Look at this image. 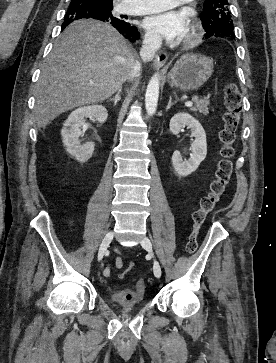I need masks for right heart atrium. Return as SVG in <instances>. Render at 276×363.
I'll return each instance as SVG.
<instances>
[{
  "label": "right heart atrium",
  "mask_w": 276,
  "mask_h": 363,
  "mask_svg": "<svg viewBox=\"0 0 276 363\" xmlns=\"http://www.w3.org/2000/svg\"><path fill=\"white\" fill-rule=\"evenodd\" d=\"M148 39H149V41H151V42L153 41V39H152L151 37H148Z\"/></svg>",
  "instance_id": "right-heart-atrium-1"
}]
</instances>
